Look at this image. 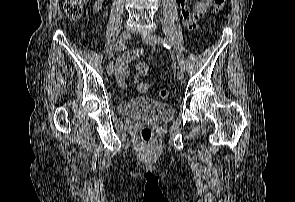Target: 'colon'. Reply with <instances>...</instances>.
<instances>
[{"mask_svg":"<svg viewBox=\"0 0 295 202\" xmlns=\"http://www.w3.org/2000/svg\"><path fill=\"white\" fill-rule=\"evenodd\" d=\"M227 0H213L212 12L213 14H219L224 8ZM86 0H65L64 11L72 22H77L82 16ZM138 75H145L148 72V65L145 62H138L135 66ZM149 88L148 83L141 82L137 89L140 92H145ZM160 97L167 98L169 96V91L167 89H161L159 92ZM141 137L145 141L151 140L153 136L152 129L148 126H143L140 131Z\"/></svg>","mask_w":295,"mask_h":202,"instance_id":"colon-1","label":"colon"}]
</instances>
